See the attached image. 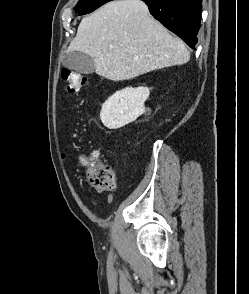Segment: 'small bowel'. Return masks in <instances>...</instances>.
<instances>
[{
    "instance_id": "obj_1",
    "label": "small bowel",
    "mask_w": 249,
    "mask_h": 294,
    "mask_svg": "<svg viewBox=\"0 0 249 294\" xmlns=\"http://www.w3.org/2000/svg\"><path fill=\"white\" fill-rule=\"evenodd\" d=\"M65 157H66V154H65L64 152H61V158H62V159H65ZM90 199H91V202H92L94 205H98V201H97V199H96L93 195L90 196ZM108 200L111 201V200H112V197L109 196V197H108Z\"/></svg>"
}]
</instances>
